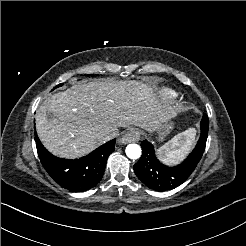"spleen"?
<instances>
[{
    "label": "spleen",
    "mask_w": 246,
    "mask_h": 246,
    "mask_svg": "<svg viewBox=\"0 0 246 246\" xmlns=\"http://www.w3.org/2000/svg\"><path fill=\"white\" fill-rule=\"evenodd\" d=\"M196 137V129L189 128L175 135L170 141L158 149L160 159L167 165H173L185 157L191 150Z\"/></svg>",
    "instance_id": "1"
}]
</instances>
